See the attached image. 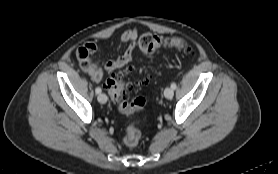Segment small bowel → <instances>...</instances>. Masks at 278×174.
<instances>
[{
	"label": "small bowel",
	"instance_id": "1",
	"mask_svg": "<svg viewBox=\"0 0 278 174\" xmlns=\"http://www.w3.org/2000/svg\"><path fill=\"white\" fill-rule=\"evenodd\" d=\"M137 37L138 31L136 29L126 30L121 36L119 46V49L124 48V50L116 58L105 60L101 63L93 61V56L98 49L96 43L93 41L85 43L76 51L82 71L88 74L94 82L99 83L103 78L104 71L112 72L122 69L132 60L137 47Z\"/></svg>",
	"mask_w": 278,
	"mask_h": 174
}]
</instances>
